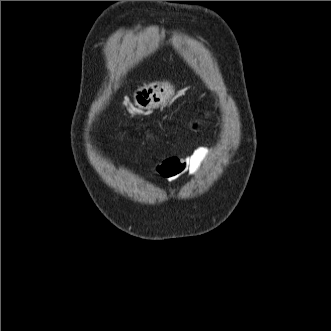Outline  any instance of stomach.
Listing matches in <instances>:
<instances>
[{"instance_id":"0dacf381","label":"stomach","mask_w":331,"mask_h":331,"mask_svg":"<svg viewBox=\"0 0 331 331\" xmlns=\"http://www.w3.org/2000/svg\"><path fill=\"white\" fill-rule=\"evenodd\" d=\"M174 94L168 82H153L139 87L133 95L134 104L143 110H152L165 105Z\"/></svg>"}]
</instances>
